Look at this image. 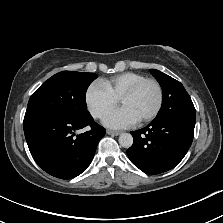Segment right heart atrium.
I'll return each instance as SVG.
<instances>
[{
  "instance_id": "d8ad5b80",
  "label": "right heart atrium",
  "mask_w": 223,
  "mask_h": 223,
  "mask_svg": "<svg viewBox=\"0 0 223 223\" xmlns=\"http://www.w3.org/2000/svg\"><path fill=\"white\" fill-rule=\"evenodd\" d=\"M84 98L87 110L96 119L103 118L118 102L100 80H95L87 86Z\"/></svg>"
}]
</instances>
